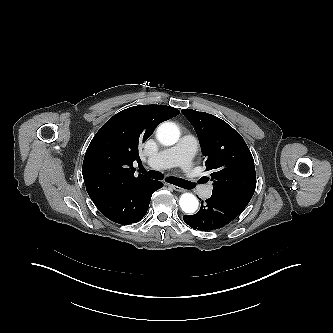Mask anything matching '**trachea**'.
<instances>
[{
	"mask_svg": "<svg viewBox=\"0 0 333 333\" xmlns=\"http://www.w3.org/2000/svg\"><path fill=\"white\" fill-rule=\"evenodd\" d=\"M139 172L143 173L144 175L148 176L149 178L156 179V180H163V174L158 171L150 170L146 171L143 167H140ZM168 183L176 185L178 187H182L185 189H193L195 187V183H191L189 181L183 180L181 178L176 177H168L166 178Z\"/></svg>",
	"mask_w": 333,
	"mask_h": 333,
	"instance_id": "trachea-1",
	"label": "trachea"
}]
</instances>
